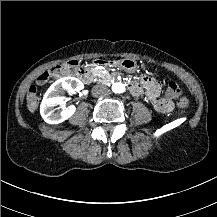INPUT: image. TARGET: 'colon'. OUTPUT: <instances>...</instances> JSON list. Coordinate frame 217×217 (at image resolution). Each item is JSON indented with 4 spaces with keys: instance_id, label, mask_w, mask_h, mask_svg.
Listing matches in <instances>:
<instances>
[{
    "instance_id": "colon-1",
    "label": "colon",
    "mask_w": 217,
    "mask_h": 217,
    "mask_svg": "<svg viewBox=\"0 0 217 217\" xmlns=\"http://www.w3.org/2000/svg\"><path fill=\"white\" fill-rule=\"evenodd\" d=\"M82 67V62L79 59H74L72 62L65 63L63 66H54L51 69V74L54 77H62L70 75L75 70ZM165 92L168 95L176 97V103L179 108L185 109L189 105L188 95L184 92L177 81H169L165 84ZM39 97L36 85H31L26 93L25 103L29 111L34 112L38 106Z\"/></svg>"
}]
</instances>
